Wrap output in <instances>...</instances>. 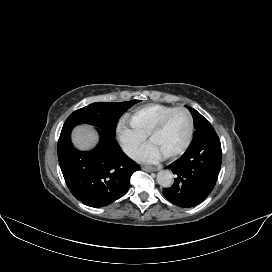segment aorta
<instances>
[{"label": "aorta", "instance_id": "1", "mask_svg": "<svg viewBox=\"0 0 272 272\" xmlns=\"http://www.w3.org/2000/svg\"><path fill=\"white\" fill-rule=\"evenodd\" d=\"M173 182V174L169 170H161L157 174V183L162 187H170Z\"/></svg>", "mask_w": 272, "mask_h": 272}]
</instances>
